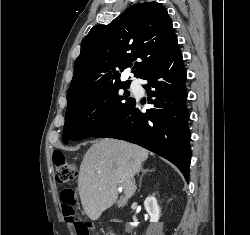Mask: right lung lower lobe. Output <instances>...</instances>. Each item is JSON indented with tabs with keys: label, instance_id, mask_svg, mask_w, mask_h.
Here are the masks:
<instances>
[{
	"label": "right lung lower lobe",
	"instance_id": "98d812e1",
	"mask_svg": "<svg viewBox=\"0 0 250 235\" xmlns=\"http://www.w3.org/2000/svg\"><path fill=\"white\" fill-rule=\"evenodd\" d=\"M186 71L176 41L169 54L142 79L154 107L145 113L135 99L111 123L93 137L116 138L138 144L175 164L189 180L191 159L189 113L185 105Z\"/></svg>",
	"mask_w": 250,
	"mask_h": 235
}]
</instances>
